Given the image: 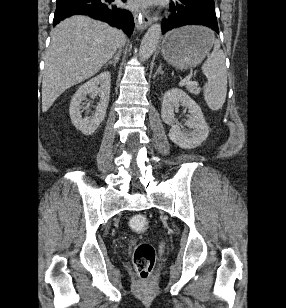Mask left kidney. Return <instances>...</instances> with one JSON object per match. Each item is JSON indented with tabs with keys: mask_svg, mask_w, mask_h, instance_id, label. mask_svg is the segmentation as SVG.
Instances as JSON below:
<instances>
[{
	"mask_svg": "<svg viewBox=\"0 0 286 308\" xmlns=\"http://www.w3.org/2000/svg\"><path fill=\"white\" fill-rule=\"evenodd\" d=\"M179 105L189 110L190 116L185 125L192 129L191 132H182L180 124L175 121L174 111ZM161 118L164 123L171 126L169 138L181 148H196L201 145L209 134V127L201 107L181 89H171L164 94Z\"/></svg>",
	"mask_w": 286,
	"mask_h": 308,
	"instance_id": "left-kidney-1",
	"label": "left kidney"
}]
</instances>
